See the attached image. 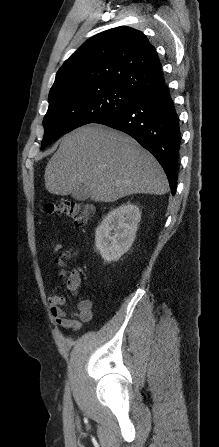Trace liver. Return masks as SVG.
I'll return each mask as SVG.
<instances>
[{
	"label": "liver",
	"mask_w": 219,
	"mask_h": 447,
	"mask_svg": "<svg viewBox=\"0 0 219 447\" xmlns=\"http://www.w3.org/2000/svg\"><path fill=\"white\" fill-rule=\"evenodd\" d=\"M45 187L66 196L81 184L95 202H113L131 194L163 195L164 170L132 137L103 125L79 127L64 135L45 170Z\"/></svg>",
	"instance_id": "1"
}]
</instances>
